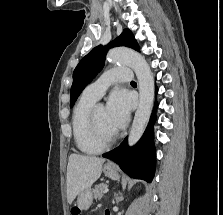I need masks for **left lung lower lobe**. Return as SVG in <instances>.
Wrapping results in <instances>:
<instances>
[{
    "mask_svg": "<svg viewBox=\"0 0 223 215\" xmlns=\"http://www.w3.org/2000/svg\"><path fill=\"white\" fill-rule=\"evenodd\" d=\"M156 108L157 103H155L149 125L143 137L134 147H129L127 138H125L117 148L103 154V157L109 158L119 164L120 168L129 176L143 179L147 182L152 181L155 172L153 124L156 120Z\"/></svg>",
    "mask_w": 223,
    "mask_h": 215,
    "instance_id": "0a47b994",
    "label": "left lung lower lobe"
}]
</instances>
